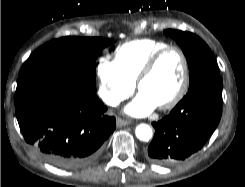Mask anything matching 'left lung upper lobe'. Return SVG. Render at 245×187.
Wrapping results in <instances>:
<instances>
[{"instance_id":"obj_1","label":"left lung upper lobe","mask_w":245,"mask_h":187,"mask_svg":"<svg viewBox=\"0 0 245 187\" xmlns=\"http://www.w3.org/2000/svg\"><path fill=\"white\" fill-rule=\"evenodd\" d=\"M180 45L186 56L190 71V86L219 76L215 57L207 44L193 33L179 30H165Z\"/></svg>"}]
</instances>
